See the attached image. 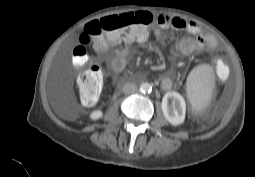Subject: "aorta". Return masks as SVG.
I'll return each mask as SVG.
<instances>
[{
  "instance_id": "1",
  "label": "aorta",
  "mask_w": 255,
  "mask_h": 177,
  "mask_svg": "<svg viewBox=\"0 0 255 177\" xmlns=\"http://www.w3.org/2000/svg\"><path fill=\"white\" fill-rule=\"evenodd\" d=\"M140 90L143 93H150L152 91V87L149 83L144 82L140 85Z\"/></svg>"
}]
</instances>
